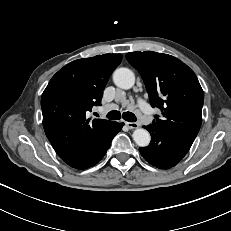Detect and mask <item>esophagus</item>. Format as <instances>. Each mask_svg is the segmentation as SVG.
Segmentation results:
<instances>
[{
	"mask_svg": "<svg viewBox=\"0 0 231 231\" xmlns=\"http://www.w3.org/2000/svg\"><path fill=\"white\" fill-rule=\"evenodd\" d=\"M126 125L129 129H136L139 127V124L136 122H126Z\"/></svg>",
	"mask_w": 231,
	"mask_h": 231,
	"instance_id": "esophagus-1",
	"label": "esophagus"
}]
</instances>
